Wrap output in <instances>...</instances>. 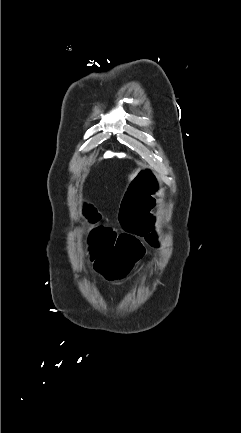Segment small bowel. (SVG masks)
<instances>
[{"label":"small bowel","mask_w":241,"mask_h":433,"mask_svg":"<svg viewBox=\"0 0 241 433\" xmlns=\"http://www.w3.org/2000/svg\"><path fill=\"white\" fill-rule=\"evenodd\" d=\"M154 170H152L151 169V171L150 172H153ZM139 172V171H138ZM157 175V174H156ZM136 176V175H135ZM159 181H160V179H159ZM161 182V181H160ZM160 195V194H159ZM126 234H128V231L126 232ZM138 239V238H137Z\"/></svg>","instance_id":"c3829d8e"}]
</instances>
